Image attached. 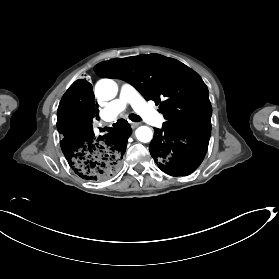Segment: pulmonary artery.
<instances>
[{"instance_id":"1","label":"pulmonary artery","mask_w":279,"mask_h":279,"mask_svg":"<svg viewBox=\"0 0 279 279\" xmlns=\"http://www.w3.org/2000/svg\"><path fill=\"white\" fill-rule=\"evenodd\" d=\"M131 89L132 87L129 84L121 85L119 96L107 105L106 115L109 119L120 117L129 108L131 105L129 101ZM134 109H138V107L134 106Z\"/></svg>"}]
</instances>
